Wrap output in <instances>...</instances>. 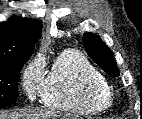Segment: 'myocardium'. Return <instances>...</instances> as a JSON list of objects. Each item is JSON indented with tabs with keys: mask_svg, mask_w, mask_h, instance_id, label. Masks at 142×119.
I'll return each mask as SVG.
<instances>
[{
	"mask_svg": "<svg viewBox=\"0 0 142 119\" xmlns=\"http://www.w3.org/2000/svg\"><path fill=\"white\" fill-rule=\"evenodd\" d=\"M99 101L103 108H107L112 103V95L110 92H103L99 95Z\"/></svg>",
	"mask_w": 142,
	"mask_h": 119,
	"instance_id": "obj_1",
	"label": "myocardium"
}]
</instances>
